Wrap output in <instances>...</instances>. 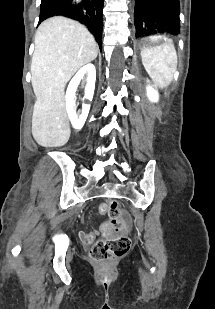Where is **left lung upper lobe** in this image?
I'll list each match as a JSON object with an SVG mask.
<instances>
[{
    "mask_svg": "<svg viewBox=\"0 0 215 309\" xmlns=\"http://www.w3.org/2000/svg\"><path fill=\"white\" fill-rule=\"evenodd\" d=\"M179 0H136V37L152 33H180Z\"/></svg>",
    "mask_w": 215,
    "mask_h": 309,
    "instance_id": "left-lung-upper-lobe-1",
    "label": "left lung upper lobe"
}]
</instances>
